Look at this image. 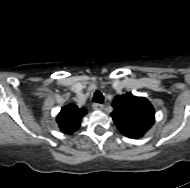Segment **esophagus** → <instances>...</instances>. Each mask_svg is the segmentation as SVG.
Wrapping results in <instances>:
<instances>
[{"label":"esophagus","mask_w":190,"mask_h":188,"mask_svg":"<svg viewBox=\"0 0 190 188\" xmlns=\"http://www.w3.org/2000/svg\"><path fill=\"white\" fill-rule=\"evenodd\" d=\"M92 108L94 110L101 111V110H103L104 106L102 104H99V103H93Z\"/></svg>","instance_id":"34e87169"}]
</instances>
